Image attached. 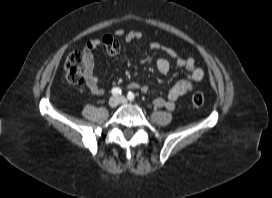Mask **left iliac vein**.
Masks as SVG:
<instances>
[{"mask_svg":"<svg viewBox=\"0 0 272 198\" xmlns=\"http://www.w3.org/2000/svg\"><path fill=\"white\" fill-rule=\"evenodd\" d=\"M118 99H119V103L121 104H126L128 102L124 96H119Z\"/></svg>","mask_w":272,"mask_h":198,"instance_id":"left-iliac-vein-1","label":"left iliac vein"}]
</instances>
